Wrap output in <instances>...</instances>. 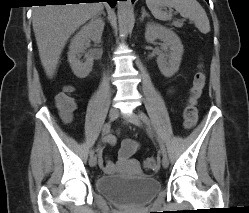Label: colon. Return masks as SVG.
<instances>
[{
  "instance_id": "1",
  "label": "colon",
  "mask_w": 249,
  "mask_h": 213,
  "mask_svg": "<svg viewBox=\"0 0 249 213\" xmlns=\"http://www.w3.org/2000/svg\"><path fill=\"white\" fill-rule=\"evenodd\" d=\"M205 81L206 73L201 68L199 71L196 72L194 76L193 84L183 110V119L186 128L193 127L197 122L198 110L196 105L197 100L200 97L204 88ZM68 91L69 88L66 89V92L60 93L56 97L57 108L61 112V114L66 118H70L76 110V103L74 99L69 95ZM159 165L160 161L159 158L156 156H149L143 161V168L146 171L157 170L159 168Z\"/></svg>"
}]
</instances>
